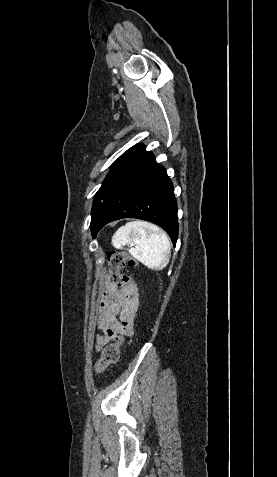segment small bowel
<instances>
[{
  "label": "small bowel",
  "mask_w": 277,
  "mask_h": 477,
  "mask_svg": "<svg viewBox=\"0 0 277 477\" xmlns=\"http://www.w3.org/2000/svg\"><path fill=\"white\" fill-rule=\"evenodd\" d=\"M138 301V289L134 282L120 285L105 276L98 315V327L102 335L95 336L96 351H100L119 334L132 336Z\"/></svg>",
  "instance_id": "small-bowel-1"
}]
</instances>
